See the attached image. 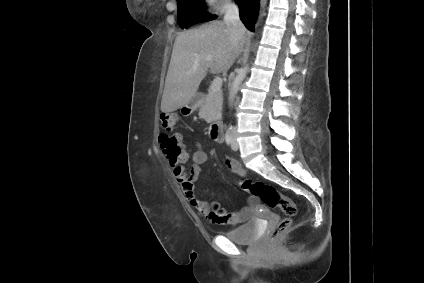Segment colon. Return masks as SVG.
Wrapping results in <instances>:
<instances>
[{
	"mask_svg": "<svg viewBox=\"0 0 424 283\" xmlns=\"http://www.w3.org/2000/svg\"><path fill=\"white\" fill-rule=\"evenodd\" d=\"M176 113H163L160 115L161 127L165 130L159 135L160 147L172 167L181 165L186 160V153L178 134L172 133L178 122ZM237 185L252 197L261 200L267 207H279L285 215L275 227L267 232V242L269 245L277 243L279 238L291 227L293 218L297 214L296 204L291 198L281 194L274 186L262 181L243 179ZM218 218L225 219L228 216L221 211L214 213Z\"/></svg>",
	"mask_w": 424,
	"mask_h": 283,
	"instance_id": "obj_1",
	"label": "colon"
}]
</instances>
